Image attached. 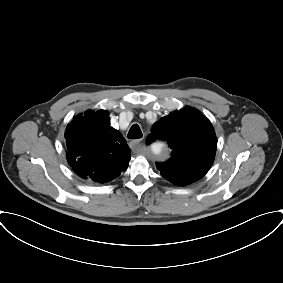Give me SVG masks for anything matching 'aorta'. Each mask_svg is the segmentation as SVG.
<instances>
[{
  "label": "aorta",
  "mask_w": 283,
  "mask_h": 283,
  "mask_svg": "<svg viewBox=\"0 0 283 283\" xmlns=\"http://www.w3.org/2000/svg\"><path fill=\"white\" fill-rule=\"evenodd\" d=\"M152 152L156 155L161 157L164 152V145L163 144H155L152 146Z\"/></svg>",
  "instance_id": "1"
}]
</instances>
